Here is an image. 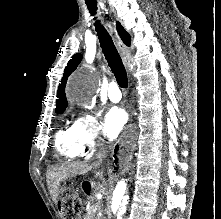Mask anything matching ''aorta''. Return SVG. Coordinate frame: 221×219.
<instances>
[{"label":"aorta","instance_id":"1","mask_svg":"<svg viewBox=\"0 0 221 219\" xmlns=\"http://www.w3.org/2000/svg\"><path fill=\"white\" fill-rule=\"evenodd\" d=\"M95 89V83L89 76L78 75L72 84L70 93L77 100L90 102ZM128 201V181L127 179H122L116 186L112 202V210L116 212L117 219H123Z\"/></svg>","mask_w":221,"mask_h":219}]
</instances>
